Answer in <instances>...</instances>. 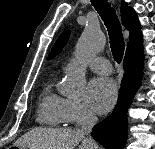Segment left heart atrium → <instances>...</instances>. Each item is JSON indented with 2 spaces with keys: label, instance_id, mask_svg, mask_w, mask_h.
Instances as JSON below:
<instances>
[{
  "label": "left heart atrium",
  "instance_id": "left-heart-atrium-1",
  "mask_svg": "<svg viewBox=\"0 0 155 149\" xmlns=\"http://www.w3.org/2000/svg\"><path fill=\"white\" fill-rule=\"evenodd\" d=\"M117 98V87L109 78H95L87 88L86 103L90 109L98 114L107 113Z\"/></svg>",
  "mask_w": 155,
  "mask_h": 149
}]
</instances>
